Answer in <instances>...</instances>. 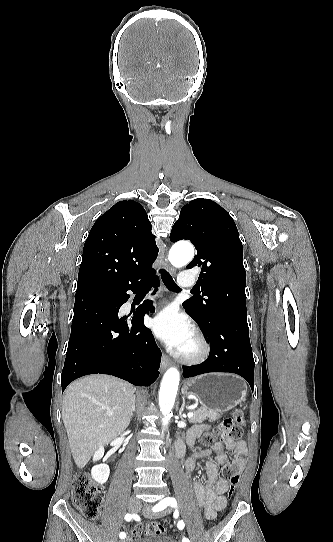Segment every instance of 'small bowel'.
<instances>
[{"label":"small bowel","mask_w":333,"mask_h":542,"mask_svg":"<svg viewBox=\"0 0 333 542\" xmlns=\"http://www.w3.org/2000/svg\"><path fill=\"white\" fill-rule=\"evenodd\" d=\"M208 429L205 425L195 426L190 430L195 439ZM225 449L233 451L234 462L238 458H244L247 453V444L244 440H225L224 442H216L209 449L196 451L185 462V472L189 476L195 469L196 462L200 459L205 460V469L207 473V482L204 484L200 480H194V493L197 504L204 509L206 519H214L217 512L222 510L226 505L225 493L228 490L229 482L220 477L219 470L227 463V455ZM215 455L211 459V455ZM142 530L139 526H135L128 533L127 542H136L140 537Z\"/></svg>","instance_id":"small-bowel-1"}]
</instances>
